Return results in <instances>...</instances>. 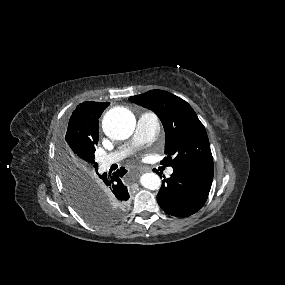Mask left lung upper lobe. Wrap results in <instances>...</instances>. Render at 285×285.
I'll return each mask as SVG.
<instances>
[{"mask_svg": "<svg viewBox=\"0 0 285 285\" xmlns=\"http://www.w3.org/2000/svg\"><path fill=\"white\" fill-rule=\"evenodd\" d=\"M129 100L152 110L162 121L166 133L162 165L213 171L206 130L186 101L162 90H151Z\"/></svg>", "mask_w": 285, "mask_h": 285, "instance_id": "obj_1", "label": "left lung upper lobe"}]
</instances>
